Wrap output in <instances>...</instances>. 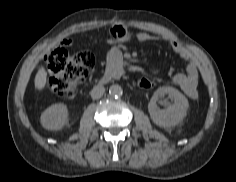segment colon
Returning <instances> with one entry per match:
<instances>
[{
    "mask_svg": "<svg viewBox=\"0 0 236 182\" xmlns=\"http://www.w3.org/2000/svg\"><path fill=\"white\" fill-rule=\"evenodd\" d=\"M46 63L50 90L57 97L70 100L76 94L77 85L93 70L95 57L89 51L71 55L57 46L48 54ZM137 82L142 89L154 87V81L147 76L139 77Z\"/></svg>",
    "mask_w": 236,
    "mask_h": 182,
    "instance_id": "obj_1",
    "label": "colon"
}]
</instances>
